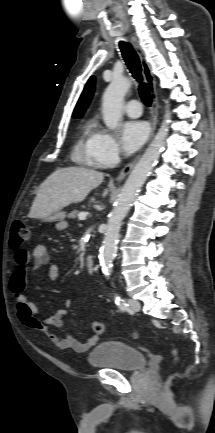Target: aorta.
<instances>
[{"instance_id": "obj_1", "label": "aorta", "mask_w": 215, "mask_h": 433, "mask_svg": "<svg viewBox=\"0 0 215 433\" xmlns=\"http://www.w3.org/2000/svg\"><path fill=\"white\" fill-rule=\"evenodd\" d=\"M131 85L132 82L130 79L117 77L112 80L104 92L102 99L103 119L106 126L111 130H115L119 127L123 113L124 97ZM170 122L171 115L167 107L159 131L126 180L121 194L109 215L100 252L102 269L106 277L111 275L112 262L117 253V244L122 221L129 211L137 192L144 184L147 176L160 157L168 136Z\"/></svg>"}]
</instances>
